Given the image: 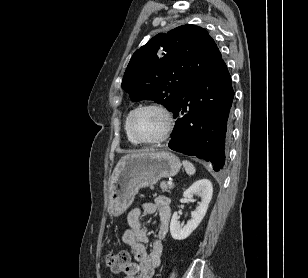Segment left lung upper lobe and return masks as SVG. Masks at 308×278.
<instances>
[{
	"label": "left lung upper lobe",
	"mask_w": 308,
	"mask_h": 278,
	"mask_svg": "<svg viewBox=\"0 0 308 278\" xmlns=\"http://www.w3.org/2000/svg\"><path fill=\"white\" fill-rule=\"evenodd\" d=\"M220 60L205 29L183 25L156 35L133 54L122 88L134 102L152 99L173 111L193 83Z\"/></svg>",
	"instance_id": "obj_1"
}]
</instances>
